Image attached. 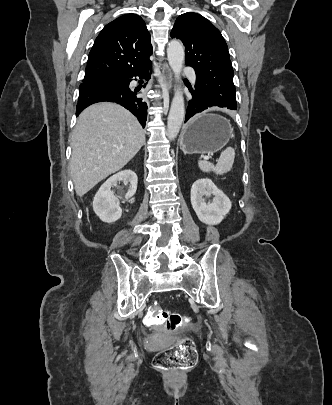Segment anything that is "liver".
Segmentation results:
<instances>
[{
  "mask_svg": "<svg viewBox=\"0 0 332 405\" xmlns=\"http://www.w3.org/2000/svg\"><path fill=\"white\" fill-rule=\"evenodd\" d=\"M145 133L138 120L120 105L87 107L72 132L70 175L78 196L122 169L141 149Z\"/></svg>",
  "mask_w": 332,
  "mask_h": 405,
  "instance_id": "6515ba94",
  "label": "liver"
}]
</instances>
